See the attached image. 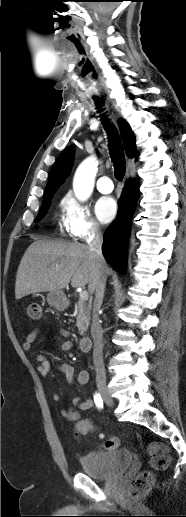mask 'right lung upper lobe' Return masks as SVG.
I'll return each mask as SVG.
<instances>
[{
  "instance_id": "obj_1",
  "label": "right lung upper lobe",
  "mask_w": 186,
  "mask_h": 517,
  "mask_svg": "<svg viewBox=\"0 0 186 517\" xmlns=\"http://www.w3.org/2000/svg\"><path fill=\"white\" fill-rule=\"evenodd\" d=\"M121 134L123 136L124 146L128 157L136 154V144L134 134L129 124L123 120H119ZM74 149L72 146L67 147L54 163L49 180L45 189V194L56 192L60 183L68 176L73 160Z\"/></svg>"
}]
</instances>
